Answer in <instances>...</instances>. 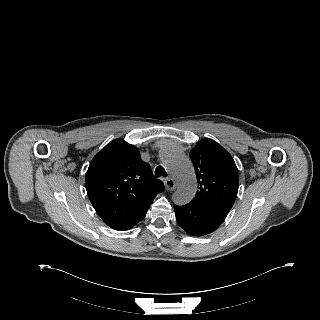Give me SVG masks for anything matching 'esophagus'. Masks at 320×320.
<instances>
[{
	"instance_id": "1",
	"label": "esophagus",
	"mask_w": 320,
	"mask_h": 320,
	"mask_svg": "<svg viewBox=\"0 0 320 320\" xmlns=\"http://www.w3.org/2000/svg\"><path fill=\"white\" fill-rule=\"evenodd\" d=\"M164 184H165L166 190L168 191H173L176 188V183L172 178H167Z\"/></svg>"
}]
</instances>
